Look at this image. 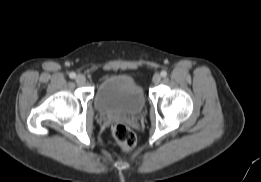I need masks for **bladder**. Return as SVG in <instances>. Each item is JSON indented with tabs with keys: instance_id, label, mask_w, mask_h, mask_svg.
<instances>
[{
	"instance_id": "bladder-1",
	"label": "bladder",
	"mask_w": 261,
	"mask_h": 182,
	"mask_svg": "<svg viewBox=\"0 0 261 182\" xmlns=\"http://www.w3.org/2000/svg\"><path fill=\"white\" fill-rule=\"evenodd\" d=\"M145 99L142 87L130 76L115 74L104 78L98 85L94 104L105 116L139 114Z\"/></svg>"
}]
</instances>
